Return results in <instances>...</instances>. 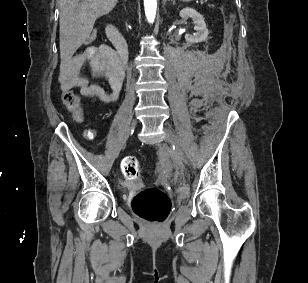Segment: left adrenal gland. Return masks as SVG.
Instances as JSON below:
<instances>
[{
	"mask_svg": "<svg viewBox=\"0 0 308 283\" xmlns=\"http://www.w3.org/2000/svg\"><path fill=\"white\" fill-rule=\"evenodd\" d=\"M167 1H172V3L175 4V0H164V4H165Z\"/></svg>",
	"mask_w": 308,
	"mask_h": 283,
	"instance_id": "1",
	"label": "left adrenal gland"
}]
</instances>
